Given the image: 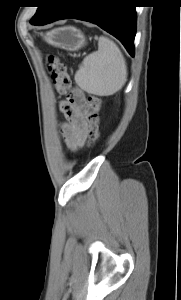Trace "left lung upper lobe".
Listing matches in <instances>:
<instances>
[{
    "label": "left lung upper lobe",
    "mask_w": 181,
    "mask_h": 300,
    "mask_svg": "<svg viewBox=\"0 0 181 300\" xmlns=\"http://www.w3.org/2000/svg\"><path fill=\"white\" fill-rule=\"evenodd\" d=\"M35 2L40 4V6L38 7L36 14L30 20V23L33 25H38L46 18V16L52 10L56 0H38Z\"/></svg>",
    "instance_id": "left-lung-upper-lobe-1"
}]
</instances>
